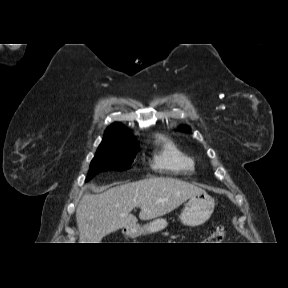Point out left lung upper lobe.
I'll list each match as a JSON object with an SVG mask.
<instances>
[{
	"instance_id": "1",
	"label": "left lung upper lobe",
	"mask_w": 288,
	"mask_h": 288,
	"mask_svg": "<svg viewBox=\"0 0 288 288\" xmlns=\"http://www.w3.org/2000/svg\"><path fill=\"white\" fill-rule=\"evenodd\" d=\"M180 131H190L189 127H181L179 128Z\"/></svg>"
}]
</instances>
